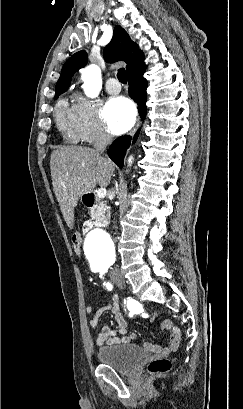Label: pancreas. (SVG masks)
<instances>
[{
    "instance_id": "1",
    "label": "pancreas",
    "mask_w": 243,
    "mask_h": 409,
    "mask_svg": "<svg viewBox=\"0 0 243 409\" xmlns=\"http://www.w3.org/2000/svg\"><path fill=\"white\" fill-rule=\"evenodd\" d=\"M91 218L98 223H106L108 221V211L103 204L96 205L93 209H91Z\"/></svg>"
}]
</instances>
